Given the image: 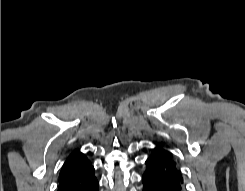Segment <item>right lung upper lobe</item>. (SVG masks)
Here are the masks:
<instances>
[{
    "label": "right lung upper lobe",
    "mask_w": 245,
    "mask_h": 191,
    "mask_svg": "<svg viewBox=\"0 0 245 191\" xmlns=\"http://www.w3.org/2000/svg\"><path fill=\"white\" fill-rule=\"evenodd\" d=\"M91 166L89 160L79 151H74L65 161L59 175V181L71 177Z\"/></svg>",
    "instance_id": "right-lung-upper-lobe-1"
}]
</instances>
